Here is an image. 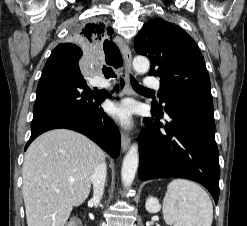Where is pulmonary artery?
<instances>
[{"instance_id":"obj_1","label":"pulmonary artery","mask_w":247,"mask_h":226,"mask_svg":"<svg viewBox=\"0 0 247 226\" xmlns=\"http://www.w3.org/2000/svg\"><path fill=\"white\" fill-rule=\"evenodd\" d=\"M101 87H109L110 84L108 82H101L99 84ZM144 86L150 89H159L160 88V83L157 79L148 77L145 82Z\"/></svg>"}]
</instances>
